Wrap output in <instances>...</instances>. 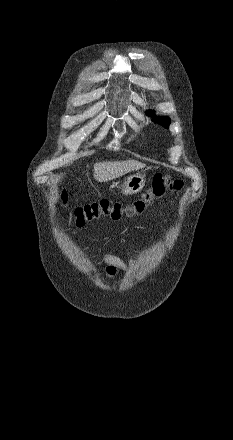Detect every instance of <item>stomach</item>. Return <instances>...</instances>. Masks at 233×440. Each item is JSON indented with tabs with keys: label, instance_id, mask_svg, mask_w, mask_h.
<instances>
[{
	"label": "stomach",
	"instance_id": "obj_1",
	"mask_svg": "<svg viewBox=\"0 0 233 440\" xmlns=\"http://www.w3.org/2000/svg\"><path fill=\"white\" fill-rule=\"evenodd\" d=\"M145 176L142 174H133L124 179L119 184V189L125 195H132L140 192L145 186Z\"/></svg>",
	"mask_w": 233,
	"mask_h": 440
}]
</instances>
